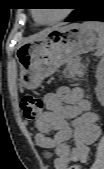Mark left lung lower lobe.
<instances>
[{
	"mask_svg": "<svg viewBox=\"0 0 104 169\" xmlns=\"http://www.w3.org/2000/svg\"><path fill=\"white\" fill-rule=\"evenodd\" d=\"M78 8L65 21H101L104 22V4L101 0H79Z\"/></svg>",
	"mask_w": 104,
	"mask_h": 169,
	"instance_id": "left-lung-lower-lobe-1",
	"label": "left lung lower lobe"
}]
</instances>
